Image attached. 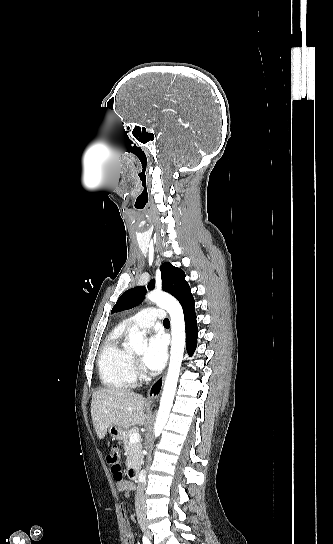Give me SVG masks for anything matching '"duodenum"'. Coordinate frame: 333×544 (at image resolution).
I'll list each match as a JSON object with an SVG mask.
<instances>
[{"mask_svg": "<svg viewBox=\"0 0 333 544\" xmlns=\"http://www.w3.org/2000/svg\"><path fill=\"white\" fill-rule=\"evenodd\" d=\"M127 473L131 480H134V481L138 480L139 470L136 466H130Z\"/></svg>", "mask_w": 333, "mask_h": 544, "instance_id": "1", "label": "duodenum"}]
</instances>
